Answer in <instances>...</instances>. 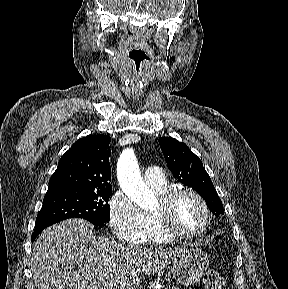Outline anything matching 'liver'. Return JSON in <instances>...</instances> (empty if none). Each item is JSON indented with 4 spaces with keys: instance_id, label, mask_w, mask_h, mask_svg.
Here are the masks:
<instances>
[{
    "instance_id": "liver-1",
    "label": "liver",
    "mask_w": 288,
    "mask_h": 289,
    "mask_svg": "<svg viewBox=\"0 0 288 289\" xmlns=\"http://www.w3.org/2000/svg\"><path fill=\"white\" fill-rule=\"evenodd\" d=\"M185 252L178 247L124 246L95 236L91 223L73 218L41 233L31 271L36 289H136L140 274L153 275Z\"/></svg>"
}]
</instances>
